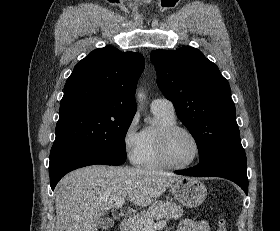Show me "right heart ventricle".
<instances>
[{
    "mask_svg": "<svg viewBox=\"0 0 280 231\" xmlns=\"http://www.w3.org/2000/svg\"><path fill=\"white\" fill-rule=\"evenodd\" d=\"M160 122V128L165 125L176 124L175 116H168L159 113H155ZM159 128V129H160ZM158 130H152L150 128L145 129V151L142 158V164L148 168H165L166 166L159 160L157 153L156 137Z\"/></svg>",
    "mask_w": 280,
    "mask_h": 231,
    "instance_id": "e07e8e85",
    "label": "right heart ventricle"
}]
</instances>
